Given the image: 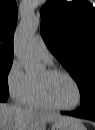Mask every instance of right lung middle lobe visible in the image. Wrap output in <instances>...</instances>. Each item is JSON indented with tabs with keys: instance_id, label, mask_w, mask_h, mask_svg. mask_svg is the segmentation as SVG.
Listing matches in <instances>:
<instances>
[{
	"instance_id": "1",
	"label": "right lung middle lobe",
	"mask_w": 95,
	"mask_h": 130,
	"mask_svg": "<svg viewBox=\"0 0 95 130\" xmlns=\"http://www.w3.org/2000/svg\"><path fill=\"white\" fill-rule=\"evenodd\" d=\"M12 60L0 61V94L9 95L7 75L11 69Z\"/></svg>"
}]
</instances>
